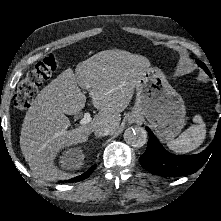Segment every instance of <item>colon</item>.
<instances>
[{
	"instance_id": "obj_1",
	"label": "colon",
	"mask_w": 221,
	"mask_h": 221,
	"mask_svg": "<svg viewBox=\"0 0 221 221\" xmlns=\"http://www.w3.org/2000/svg\"><path fill=\"white\" fill-rule=\"evenodd\" d=\"M59 60L50 55L30 70L25 78L19 83L14 95L13 103L17 110L29 108L38 91V88L58 70Z\"/></svg>"
}]
</instances>
